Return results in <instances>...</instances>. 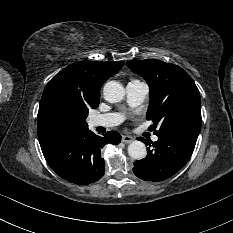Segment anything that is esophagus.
<instances>
[{
  "mask_svg": "<svg viewBox=\"0 0 233 233\" xmlns=\"http://www.w3.org/2000/svg\"><path fill=\"white\" fill-rule=\"evenodd\" d=\"M134 140L132 136L129 135H123L122 136V142L124 143H131Z\"/></svg>",
  "mask_w": 233,
  "mask_h": 233,
  "instance_id": "esophagus-1",
  "label": "esophagus"
}]
</instances>
